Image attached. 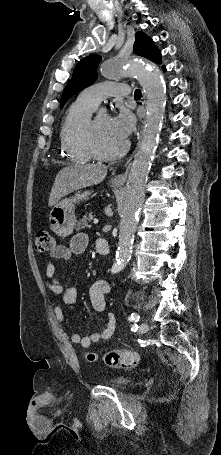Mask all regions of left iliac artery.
Here are the masks:
<instances>
[{"label":"left iliac artery","mask_w":221,"mask_h":455,"mask_svg":"<svg viewBox=\"0 0 221 455\" xmlns=\"http://www.w3.org/2000/svg\"><path fill=\"white\" fill-rule=\"evenodd\" d=\"M140 316L137 313H132L131 316L129 317L130 321H139Z\"/></svg>","instance_id":"44dca946"}]
</instances>
